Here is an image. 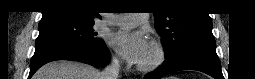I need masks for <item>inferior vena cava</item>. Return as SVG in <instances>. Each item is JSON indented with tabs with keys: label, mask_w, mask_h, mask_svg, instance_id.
Instances as JSON below:
<instances>
[{
	"label": "inferior vena cava",
	"mask_w": 255,
	"mask_h": 79,
	"mask_svg": "<svg viewBox=\"0 0 255 79\" xmlns=\"http://www.w3.org/2000/svg\"><path fill=\"white\" fill-rule=\"evenodd\" d=\"M120 70V60L112 57L110 63L104 68L100 74V79H118Z\"/></svg>",
	"instance_id": "602c4592"
}]
</instances>
